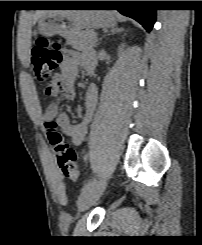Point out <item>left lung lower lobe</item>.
Instances as JSON below:
<instances>
[{"label":"left lung lower lobe","instance_id":"left-lung-lower-lobe-1","mask_svg":"<svg viewBox=\"0 0 202 245\" xmlns=\"http://www.w3.org/2000/svg\"><path fill=\"white\" fill-rule=\"evenodd\" d=\"M138 1H117L115 2V6H117V10L128 17H131L138 21L146 31L150 32L155 23L156 18V10L151 8L144 7H130L134 6ZM100 4H105L103 1H84L85 6H96Z\"/></svg>","mask_w":202,"mask_h":245}]
</instances>
